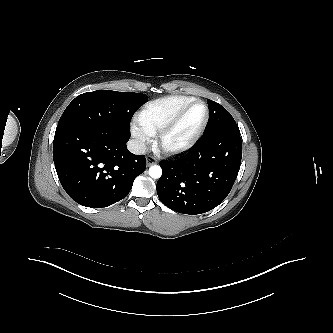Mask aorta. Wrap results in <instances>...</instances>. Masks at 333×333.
I'll return each instance as SVG.
<instances>
[{"label":"aorta","instance_id":"aorta-1","mask_svg":"<svg viewBox=\"0 0 333 333\" xmlns=\"http://www.w3.org/2000/svg\"><path fill=\"white\" fill-rule=\"evenodd\" d=\"M162 175V169L158 165H153L149 168V176L153 179H158Z\"/></svg>","mask_w":333,"mask_h":333}]
</instances>
